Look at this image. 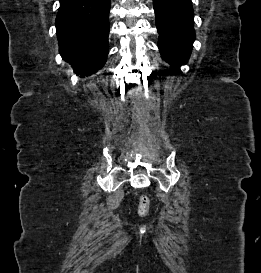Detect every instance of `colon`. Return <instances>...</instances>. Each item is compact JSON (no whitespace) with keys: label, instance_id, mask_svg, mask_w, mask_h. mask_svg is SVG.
<instances>
[{"label":"colon","instance_id":"colon-1","mask_svg":"<svg viewBox=\"0 0 261 273\" xmlns=\"http://www.w3.org/2000/svg\"><path fill=\"white\" fill-rule=\"evenodd\" d=\"M150 200L147 196L143 195L140 197L138 204V214L140 216H146L149 212Z\"/></svg>","mask_w":261,"mask_h":273}]
</instances>
